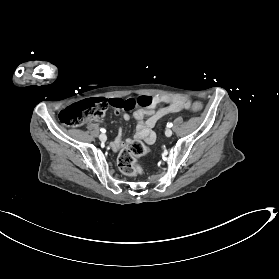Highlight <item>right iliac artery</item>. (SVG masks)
I'll return each instance as SVG.
<instances>
[{
    "mask_svg": "<svg viewBox=\"0 0 279 279\" xmlns=\"http://www.w3.org/2000/svg\"><path fill=\"white\" fill-rule=\"evenodd\" d=\"M100 131H101L102 133H105V132H106V130H105V129H103V128H102Z\"/></svg>",
    "mask_w": 279,
    "mask_h": 279,
    "instance_id": "1",
    "label": "right iliac artery"
}]
</instances>
